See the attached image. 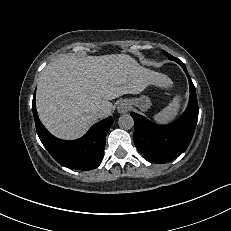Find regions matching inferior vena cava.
Segmentation results:
<instances>
[{"mask_svg": "<svg viewBox=\"0 0 231 231\" xmlns=\"http://www.w3.org/2000/svg\"><path fill=\"white\" fill-rule=\"evenodd\" d=\"M106 114V111L104 109H98L97 115L102 118Z\"/></svg>", "mask_w": 231, "mask_h": 231, "instance_id": "602c4592", "label": "inferior vena cava"}]
</instances>
